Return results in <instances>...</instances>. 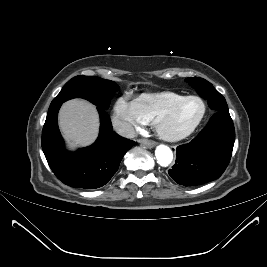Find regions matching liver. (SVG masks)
I'll use <instances>...</instances> for the list:
<instances>
[{
    "label": "liver",
    "instance_id": "liver-1",
    "mask_svg": "<svg viewBox=\"0 0 267 267\" xmlns=\"http://www.w3.org/2000/svg\"><path fill=\"white\" fill-rule=\"evenodd\" d=\"M59 127L73 146H87L99 131V116L94 105L83 99L65 102L59 111Z\"/></svg>",
    "mask_w": 267,
    "mask_h": 267
}]
</instances>
